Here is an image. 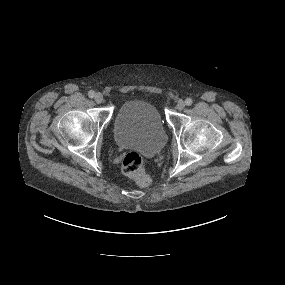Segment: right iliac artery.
<instances>
[{"label":"right iliac artery","instance_id":"1","mask_svg":"<svg viewBox=\"0 0 285 285\" xmlns=\"http://www.w3.org/2000/svg\"><path fill=\"white\" fill-rule=\"evenodd\" d=\"M88 96H89L90 98H93V97L95 96V92H94L93 90H90V91L88 92Z\"/></svg>","mask_w":285,"mask_h":285}]
</instances>
